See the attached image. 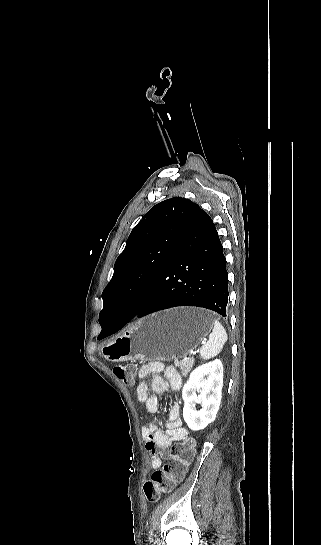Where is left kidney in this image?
<instances>
[{"label": "left kidney", "instance_id": "5707ae66", "mask_svg": "<svg viewBox=\"0 0 321 545\" xmlns=\"http://www.w3.org/2000/svg\"><path fill=\"white\" fill-rule=\"evenodd\" d=\"M223 387V365L219 359L200 365L192 371L183 387V419L191 431H202L213 423L221 403ZM196 391H201L199 397ZM196 405L202 409L197 411Z\"/></svg>", "mask_w": 321, "mask_h": 545}]
</instances>
